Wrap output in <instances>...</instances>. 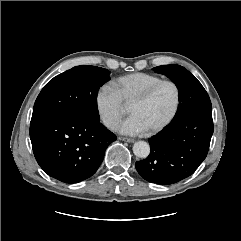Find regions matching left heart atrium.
<instances>
[{
	"instance_id": "left-heart-atrium-1",
	"label": "left heart atrium",
	"mask_w": 241,
	"mask_h": 241,
	"mask_svg": "<svg viewBox=\"0 0 241 241\" xmlns=\"http://www.w3.org/2000/svg\"><path fill=\"white\" fill-rule=\"evenodd\" d=\"M117 130L127 135H140L149 129L138 115L131 114L117 126Z\"/></svg>"
}]
</instances>
